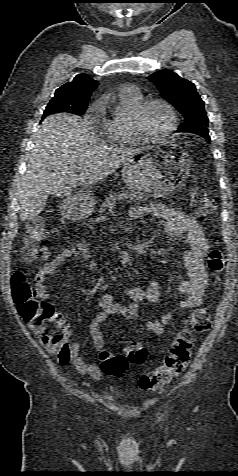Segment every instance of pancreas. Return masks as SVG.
I'll list each match as a JSON object with an SVG mask.
<instances>
[{
	"mask_svg": "<svg viewBox=\"0 0 238 476\" xmlns=\"http://www.w3.org/2000/svg\"><path fill=\"white\" fill-rule=\"evenodd\" d=\"M138 199L140 198H137L134 193H124V192L113 193L110 196L106 197L105 201L100 206V209L98 212L101 215L106 213V211L113 213L117 202L129 203L133 200H138Z\"/></svg>",
	"mask_w": 238,
	"mask_h": 476,
	"instance_id": "obj_1",
	"label": "pancreas"
}]
</instances>
